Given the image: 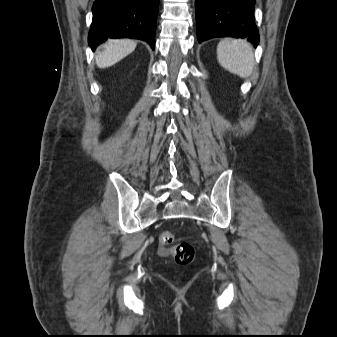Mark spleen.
I'll list each match as a JSON object with an SVG mask.
<instances>
[{
    "label": "spleen",
    "mask_w": 337,
    "mask_h": 337,
    "mask_svg": "<svg viewBox=\"0 0 337 337\" xmlns=\"http://www.w3.org/2000/svg\"><path fill=\"white\" fill-rule=\"evenodd\" d=\"M217 58L220 65L241 78L249 77L255 60L251 45L241 39L225 38L217 46Z\"/></svg>",
    "instance_id": "3e777b00"
}]
</instances>
